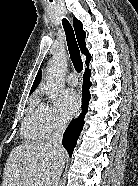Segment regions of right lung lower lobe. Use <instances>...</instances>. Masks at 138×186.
I'll return each mask as SVG.
<instances>
[{
	"label": "right lung lower lobe",
	"mask_w": 138,
	"mask_h": 186,
	"mask_svg": "<svg viewBox=\"0 0 138 186\" xmlns=\"http://www.w3.org/2000/svg\"><path fill=\"white\" fill-rule=\"evenodd\" d=\"M90 75L91 74L89 71H85L83 76L82 113L77 119L73 120L70 123L63 136V146L70 156L72 155L73 150L77 144V139L84 125V117L86 112L88 111V103L91 98V95L89 93V88L91 87Z\"/></svg>",
	"instance_id": "right-lung-lower-lobe-1"
}]
</instances>
